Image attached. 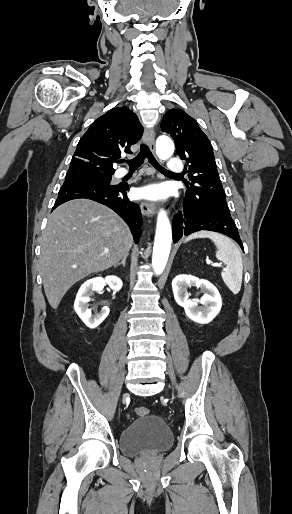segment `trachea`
Here are the masks:
<instances>
[{"instance_id": "obj_1", "label": "trachea", "mask_w": 292, "mask_h": 514, "mask_svg": "<svg viewBox=\"0 0 292 514\" xmlns=\"http://www.w3.org/2000/svg\"><path fill=\"white\" fill-rule=\"evenodd\" d=\"M145 158H148L149 162L157 169L162 171H167L164 167H162L157 160L153 157L151 151L149 150L148 145L141 144L140 152L134 159L128 160L127 163L129 165V170H136L143 163ZM124 160H119V163H123Z\"/></svg>"}]
</instances>
